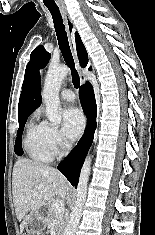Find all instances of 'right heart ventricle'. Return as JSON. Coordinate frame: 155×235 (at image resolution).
Wrapping results in <instances>:
<instances>
[{
	"label": "right heart ventricle",
	"mask_w": 155,
	"mask_h": 235,
	"mask_svg": "<svg viewBox=\"0 0 155 235\" xmlns=\"http://www.w3.org/2000/svg\"><path fill=\"white\" fill-rule=\"evenodd\" d=\"M25 149L30 158L37 162H50L53 152L47 146L44 139L42 124L30 122L25 137Z\"/></svg>",
	"instance_id": "right-heart-ventricle-1"
}]
</instances>
